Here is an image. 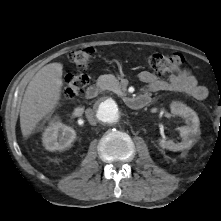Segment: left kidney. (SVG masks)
Returning <instances> with one entry per match:
<instances>
[{
  "label": "left kidney",
  "mask_w": 221,
  "mask_h": 221,
  "mask_svg": "<svg viewBox=\"0 0 221 221\" xmlns=\"http://www.w3.org/2000/svg\"><path fill=\"white\" fill-rule=\"evenodd\" d=\"M170 108L173 115H178L185 119L186 125L179 128L182 141L180 143H174L171 140L162 138L159 139V145L163 149H168L174 152L189 149L191 148L192 143L200 135L199 118L195 111L181 102H172Z\"/></svg>",
  "instance_id": "1"
}]
</instances>
